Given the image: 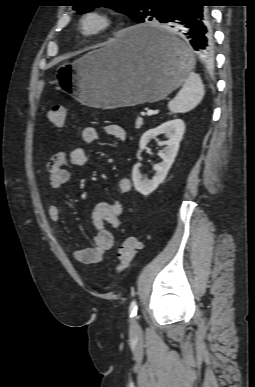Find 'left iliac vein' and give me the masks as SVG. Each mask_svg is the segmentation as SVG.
<instances>
[{
    "label": "left iliac vein",
    "instance_id": "1",
    "mask_svg": "<svg viewBox=\"0 0 255 387\" xmlns=\"http://www.w3.org/2000/svg\"><path fill=\"white\" fill-rule=\"evenodd\" d=\"M131 329L132 331H137L139 329V324L136 319H133Z\"/></svg>",
    "mask_w": 255,
    "mask_h": 387
}]
</instances>
